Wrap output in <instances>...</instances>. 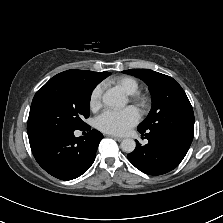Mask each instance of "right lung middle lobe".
Returning a JSON list of instances; mask_svg holds the SVG:
<instances>
[{
    "label": "right lung middle lobe",
    "mask_w": 223,
    "mask_h": 223,
    "mask_svg": "<svg viewBox=\"0 0 223 223\" xmlns=\"http://www.w3.org/2000/svg\"><path fill=\"white\" fill-rule=\"evenodd\" d=\"M96 84L50 79L32 101L27 132L29 140L59 131L82 129L90 115V98Z\"/></svg>",
    "instance_id": "1"
}]
</instances>
